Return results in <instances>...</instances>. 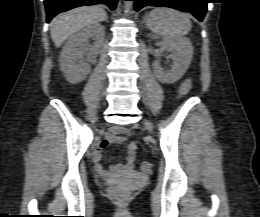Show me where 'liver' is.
I'll return each instance as SVG.
<instances>
[{"label": "liver", "instance_id": "1", "mask_svg": "<svg viewBox=\"0 0 260 217\" xmlns=\"http://www.w3.org/2000/svg\"><path fill=\"white\" fill-rule=\"evenodd\" d=\"M106 12L99 6L78 7L57 15L50 24L51 38L56 47L72 34L85 26L102 22L106 19Z\"/></svg>", "mask_w": 260, "mask_h": 217}]
</instances>
